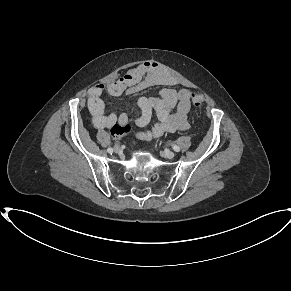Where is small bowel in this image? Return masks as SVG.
<instances>
[{
  "label": "small bowel",
  "instance_id": "c3829d8e",
  "mask_svg": "<svg viewBox=\"0 0 291 291\" xmlns=\"http://www.w3.org/2000/svg\"><path fill=\"white\" fill-rule=\"evenodd\" d=\"M176 84L177 80L171 73L153 62H146L128 70L117 81L106 85L96 84L88 91L87 103L92 122L99 129L112 128L117 121L121 124L134 122L138 127H145L155 113L157 122L149 130L135 133L136 138L143 141L158 138L164 133L185 130L188 128L187 113L191 105V91L187 88H171ZM156 85L167 88L163 89L159 96L135 99L141 110L139 117L132 119L126 113H107V104L102 99L104 93L117 98L123 94L135 95Z\"/></svg>",
  "mask_w": 291,
  "mask_h": 291
}]
</instances>
